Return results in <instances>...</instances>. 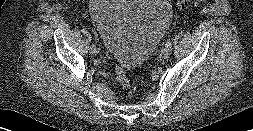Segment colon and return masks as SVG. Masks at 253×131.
Returning <instances> with one entry per match:
<instances>
[{
    "label": "colon",
    "instance_id": "colon-1",
    "mask_svg": "<svg viewBox=\"0 0 253 131\" xmlns=\"http://www.w3.org/2000/svg\"><path fill=\"white\" fill-rule=\"evenodd\" d=\"M203 1H205V0H178V5L181 8H187L189 6L199 5ZM115 71H116V76H117V80H118L119 84L125 90H129L131 88V82H130L127 74L123 70V68L117 64L115 67Z\"/></svg>",
    "mask_w": 253,
    "mask_h": 131
}]
</instances>
